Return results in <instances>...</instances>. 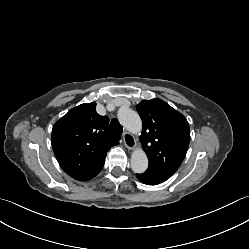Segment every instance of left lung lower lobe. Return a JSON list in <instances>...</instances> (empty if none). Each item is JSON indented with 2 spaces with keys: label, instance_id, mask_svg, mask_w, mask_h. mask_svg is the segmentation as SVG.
I'll return each mask as SVG.
<instances>
[{
  "label": "left lung lower lobe",
  "instance_id": "1",
  "mask_svg": "<svg viewBox=\"0 0 249 249\" xmlns=\"http://www.w3.org/2000/svg\"><path fill=\"white\" fill-rule=\"evenodd\" d=\"M137 178L144 184L157 185L170 178L168 175L160 174L147 169L145 173L136 174Z\"/></svg>",
  "mask_w": 249,
  "mask_h": 249
}]
</instances>
